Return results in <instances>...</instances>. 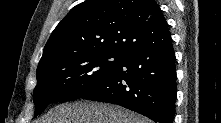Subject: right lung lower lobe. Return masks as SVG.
<instances>
[{
	"instance_id": "obj_1",
	"label": "right lung lower lobe",
	"mask_w": 221,
	"mask_h": 123,
	"mask_svg": "<svg viewBox=\"0 0 221 123\" xmlns=\"http://www.w3.org/2000/svg\"><path fill=\"white\" fill-rule=\"evenodd\" d=\"M177 95L175 52L171 37L126 54L103 82L82 98L117 104L155 123H173Z\"/></svg>"
}]
</instances>
